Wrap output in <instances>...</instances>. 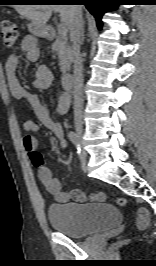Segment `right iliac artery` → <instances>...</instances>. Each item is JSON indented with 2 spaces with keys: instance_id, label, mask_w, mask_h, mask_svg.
I'll return each instance as SVG.
<instances>
[{
  "instance_id": "obj_1",
  "label": "right iliac artery",
  "mask_w": 156,
  "mask_h": 266,
  "mask_svg": "<svg viewBox=\"0 0 156 266\" xmlns=\"http://www.w3.org/2000/svg\"><path fill=\"white\" fill-rule=\"evenodd\" d=\"M69 140L76 146L77 153L80 156L81 155V148H80V141L79 136L74 131H70L68 134Z\"/></svg>"
}]
</instances>
